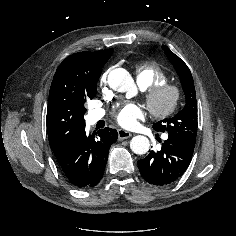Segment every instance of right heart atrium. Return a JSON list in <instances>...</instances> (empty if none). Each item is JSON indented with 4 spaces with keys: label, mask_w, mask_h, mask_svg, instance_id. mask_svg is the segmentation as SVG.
Listing matches in <instances>:
<instances>
[{
    "label": "right heart atrium",
    "mask_w": 236,
    "mask_h": 236,
    "mask_svg": "<svg viewBox=\"0 0 236 236\" xmlns=\"http://www.w3.org/2000/svg\"><path fill=\"white\" fill-rule=\"evenodd\" d=\"M108 73H104L100 78V83L102 86L107 84Z\"/></svg>",
    "instance_id": "d8ad5b80"
}]
</instances>
